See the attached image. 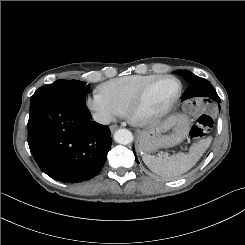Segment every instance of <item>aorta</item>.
Listing matches in <instances>:
<instances>
[{
    "mask_svg": "<svg viewBox=\"0 0 245 245\" xmlns=\"http://www.w3.org/2000/svg\"><path fill=\"white\" fill-rule=\"evenodd\" d=\"M114 140L119 144L127 145L133 141V135L127 129H119L114 133Z\"/></svg>",
    "mask_w": 245,
    "mask_h": 245,
    "instance_id": "obj_1",
    "label": "aorta"
}]
</instances>
